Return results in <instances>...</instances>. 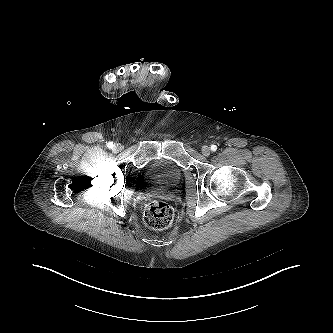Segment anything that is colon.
Segmentation results:
<instances>
[{
  "label": "colon",
  "instance_id": "1",
  "mask_svg": "<svg viewBox=\"0 0 333 333\" xmlns=\"http://www.w3.org/2000/svg\"><path fill=\"white\" fill-rule=\"evenodd\" d=\"M174 212L170 205L162 201L148 204L144 210L145 224L155 230L169 227L173 221Z\"/></svg>",
  "mask_w": 333,
  "mask_h": 333
}]
</instances>
